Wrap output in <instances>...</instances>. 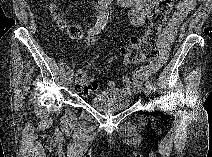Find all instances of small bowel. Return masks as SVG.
I'll use <instances>...</instances> for the list:
<instances>
[{"instance_id":"obj_1","label":"small bowel","mask_w":212,"mask_h":157,"mask_svg":"<svg viewBox=\"0 0 212 157\" xmlns=\"http://www.w3.org/2000/svg\"><path fill=\"white\" fill-rule=\"evenodd\" d=\"M120 5L129 11L131 22L136 26H142L145 23L146 17L154 6L153 0H121ZM196 2L194 0H181L169 23L165 29V33L169 38L164 37L161 43L160 55L154 62L146 66L139 67L136 70L134 78L125 77L123 79L124 89L128 91L138 92L141 85L150 75L157 72L167 61L170 51V43L177 34L179 26L184 21L187 14L195 8Z\"/></svg>"}]
</instances>
